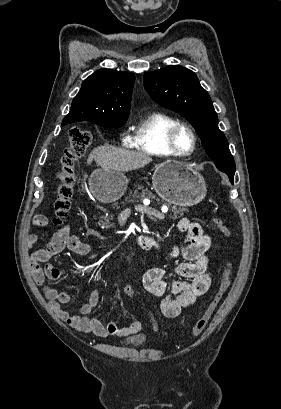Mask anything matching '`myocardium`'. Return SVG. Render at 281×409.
<instances>
[{
	"label": "myocardium",
	"instance_id": "1",
	"mask_svg": "<svg viewBox=\"0 0 281 409\" xmlns=\"http://www.w3.org/2000/svg\"><path fill=\"white\" fill-rule=\"evenodd\" d=\"M188 135L190 138V148L185 150L182 145V136ZM169 144L171 149L178 155L182 157H187L192 155L197 148V137L193 129L185 123H179L174 126L170 132Z\"/></svg>",
	"mask_w": 281,
	"mask_h": 409
}]
</instances>
